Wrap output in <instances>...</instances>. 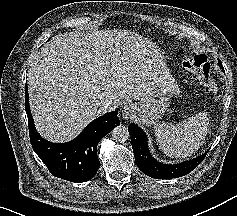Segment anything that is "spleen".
Wrapping results in <instances>:
<instances>
[{
	"label": "spleen",
	"mask_w": 237,
	"mask_h": 216,
	"mask_svg": "<svg viewBox=\"0 0 237 216\" xmlns=\"http://www.w3.org/2000/svg\"><path fill=\"white\" fill-rule=\"evenodd\" d=\"M154 130L160 148L167 155L186 158L204 141L207 120L204 115L195 114L182 122L157 121Z\"/></svg>",
	"instance_id": "3e777b00"
}]
</instances>
